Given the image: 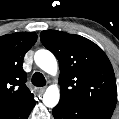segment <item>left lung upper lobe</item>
Wrapping results in <instances>:
<instances>
[{"label": "left lung upper lobe", "mask_w": 119, "mask_h": 119, "mask_svg": "<svg viewBox=\"0 0 119 119\" xmlns=\"http://www.w3.org/2000/svg\"><path fill=\"white\" fill-rule=\"evenodd\" d=\"M40 38L59 61L60 101L81 109L113 112L115 74L103 50L82 36L56 30L42 31Z\"/></svg>", "instance_id": "left-lung-upper-lobe-1"}]
</instances>
